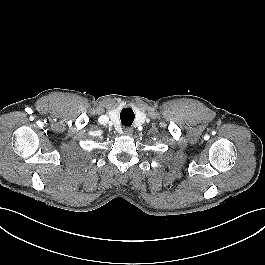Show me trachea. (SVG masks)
<instances>
[{
    "label": "trachea",
    "instance_id": "obj_1",
    "mask_svg": "<svg viewBox=\"0 0 265 265\" xmlns=\"http://www.w3.org/2000/svg\"><path fill=\"white\" fill-rule=\"evenodd\" d=\"M135 118L134 112L131 108H124L120 113V119L124 126H131Z\"/></svg>",
    "mask_w": 265,
    "mask_h": 265
}]
</instances>
